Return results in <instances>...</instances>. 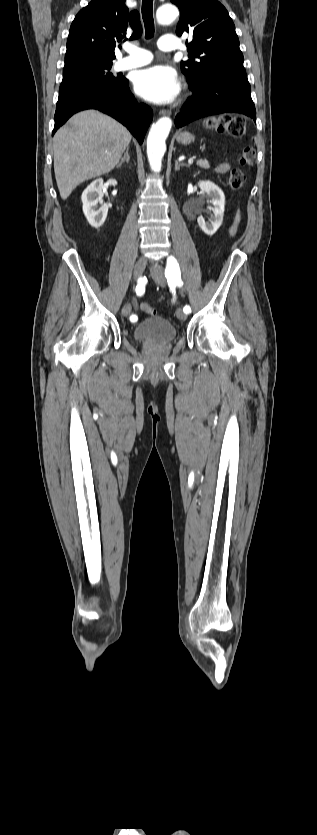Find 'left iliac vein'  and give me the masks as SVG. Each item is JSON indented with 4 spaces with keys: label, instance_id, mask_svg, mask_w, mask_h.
Instances as JSON below:
<instances>
[{
    "label": "left iliac vein",
    "instance_id": "left-iliac-vein-1",
    "mask_svg": "<svg viewBox=\"0 0 317 835\" xmlns=\"http://www.w3.org/2000/svg\"><path fill=\"white\" fill-rule=\"evenodd\" d=\"M150 271L155 283L164 287L166 285V278L162 266L158 263H153L150 267ZM176 316L180 320H185L187 318V315L184 311H182V309H177Z\"/></svg>",
    "mask_w": 317,
    "mask_h": 835
}]
</instances>
